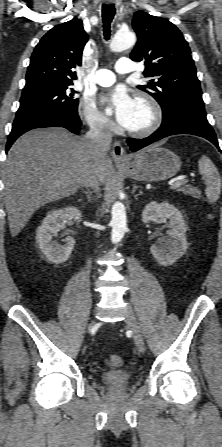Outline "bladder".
I'll return each mask as SVG.
<instances>
[{"instance_id": "31cf9c89", "label": "bladder", "mask_w": 222, "mask_h": 447, "mask_svg": "<svg viewBox=\"0 0 222 447\" xmlns=\"http://www.w3.org/2000/svg\"><path fill=\"white\" fill-rule=\"evenodd\" d=\"M100 378L106 387L119 390L126 388L130 384L132 375L127 371L113 370L102 373Z\"/></svg>"}]
</instances>
